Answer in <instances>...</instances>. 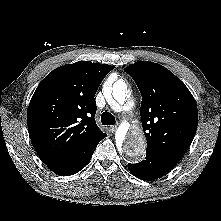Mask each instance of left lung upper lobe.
I'll use <instances>...</instances> for the list:
<instances>
[{
  "label": "left lung upper lobe",
  "mask_w": 221,
  "mask_h": 221,
  "mask_svg": "<svg viewBox=\"0 0 221 221\" xmlns=\"http://www.w3.org/2000/svg\"><path fill=\"white\" fill-rule=\"evenodd\" d=\"M124 71L142 95L140 115L146 152L179 162L192 143L198 124L192 94L178 77L159 64L139 61Z\"/></svg>",
  "instance_id": "obj_1"
}]
</instances>
